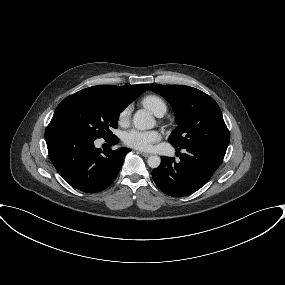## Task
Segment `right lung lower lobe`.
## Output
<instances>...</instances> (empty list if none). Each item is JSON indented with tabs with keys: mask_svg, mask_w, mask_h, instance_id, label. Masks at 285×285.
Here are the masks:
<instances>
[{
	"mask_svg": "<svg viewBox=\"0 0 285 285\" xmlns=\"http://www.w3.org/2000/svg\"><path fill=\"white\" fill-rule=\"evenodd\" d=\"M49 158L61 177L72 187L86 193L107 188L118 175L128 148L97 149L95 138L62 121L51 120L45 131ZM108 140L118 143L116 136Z\"/></svg>",
	"mask_w": 285,
	"mask_h": 285,
	"instance_id": "98d812e1",
	"label": "right lung lower lobe"
}]
</instances>
